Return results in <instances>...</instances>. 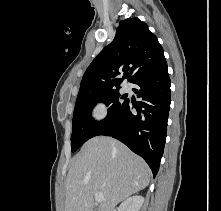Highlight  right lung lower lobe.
<instances>
[{
  "instance_id": "98d812e1",
  "label": "right lung lower lobe",
  "mask_w": 221,
  "mask_h": 211,
  "mask_svg": "<svg viewBox=\"0 0 221 211\" xmlns=\"http://www.w3.org/2000/svg\"><path fill=\"white\" fill-rule=\"evenodd\" d=\"M134 89L142 101L127 100L114 119L97 135L112 136L140 155L156 176L163 155L171 102L167 64L137 78ZM135 107L137 114L131 113Z\"/></svg>"
}]
</instances>
